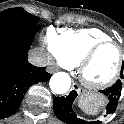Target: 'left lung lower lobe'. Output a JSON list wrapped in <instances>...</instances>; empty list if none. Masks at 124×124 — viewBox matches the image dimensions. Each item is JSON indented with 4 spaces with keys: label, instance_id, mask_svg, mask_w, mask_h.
<instances>
[{
    "label": "left lung lower lobe",
    "instance_id": "1",
    "mask_svg": "<svg viewBox=\"0 0 124 124\" xmlns=\"http://www.w3.org/2000/svg\"><path fill=\"white\" fill-rule=\"evenodd\" d=\"M121 89L122 82L118 80L113 86L101 91V93L108 98L106 115L104 117L115 112L121 95ZM76 97L77 92L73 90L66 97L61 96L54 99L53 108L58 119L67 124H101L100 120L89 122L76 116L73 110V102Z\"/></svg>",
    "mask_w": 124,
    "mask_h": 124
}]
</instances>
